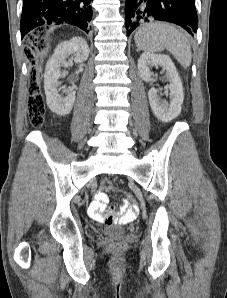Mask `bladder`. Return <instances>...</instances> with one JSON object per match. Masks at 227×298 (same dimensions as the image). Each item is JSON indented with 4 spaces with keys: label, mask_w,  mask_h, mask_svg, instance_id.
<instances>
[{
    "label": "bladder",
    "mask_w": 227,
    "mask_h": 298,
    "mask_svg": "<svg viewBox=\"0 0 227 298\" xmlns=\"http://www.w3.org/2000/svg\"><path fill=\"white\" fill-rule=\"evenodd\" d=\"M123 232H124V228L118 227V226L107 227L101 231L102 234L109 235V236H117L122 234Z\"/></svg>",
    "instance_id": "bladder-1"
}]
</instances>
